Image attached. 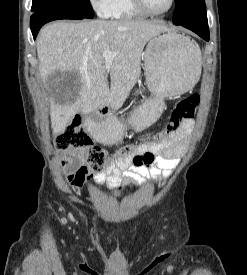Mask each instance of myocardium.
Here are the masks:
<instances>
[{
  "label": "myocardium",
  "instance_id": "obj_1",
  "mask_svg": "<svg viewBox=\"0 0 247 275\" xmlns=\"http://www.w3.org/2000/svg\"><path fill=\"white\" fill-rule=\"evenodd\" d=\"M135 6L145 15H149V16H161V15H165L167 14L169 11H171V9L173 8L174 4H175V0H170V4L168 6L167 9L163 10V11H153L151 10L147 4L145 0H133Z\"/></svg>",
  "mask_w": 247,
  "mask_h": 275
}]
</instances>
